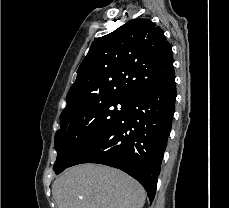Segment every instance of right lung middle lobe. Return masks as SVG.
<instances>
[{
  "label": "right lung middle lobe",
  "mask_w": 229,
  "mask_h": 208,
  "mask_svg": "<svg viewBox=\"0 0 229 208\" xmlns=\"http://www.w3.org/2000/svg\"><path fill=\"white\" fill-rule=\"evenodd\" d=\"M131 102L132 98L125 96L103 97L61 117V128L57 130L54 142L58 153L53 167L55 173L66 169L88 143L116 123Z\"/></svg>",
  "instance_id": "dd1d6c3e"
}]
</instances>
